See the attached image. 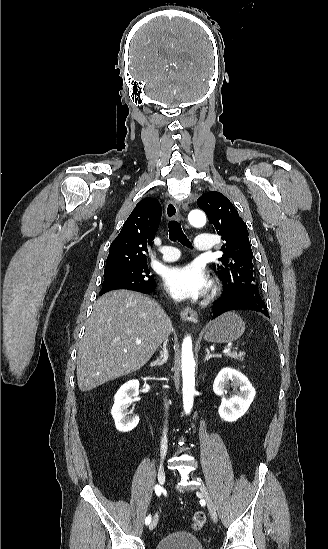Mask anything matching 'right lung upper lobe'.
<instances>
[{
    "instance_id": "1",
    "label": "right lung upper lobe",
    "mask_w": 328,
    "mask_h": 549,
    "mask_svg": "<svg viewBox=\"0 0 328 549\" xmlns=\"http://www.w3.org/2000/svg\"><path fill=\"white\" fill-rule=\"evenodd\" d=\"M157 199L144 198L134 208L116 239L110 245L104 271L147 264L145 253L161 220Z\"/></svg>"
}]
</instances>
